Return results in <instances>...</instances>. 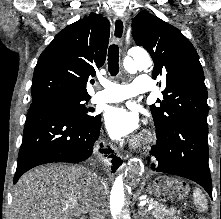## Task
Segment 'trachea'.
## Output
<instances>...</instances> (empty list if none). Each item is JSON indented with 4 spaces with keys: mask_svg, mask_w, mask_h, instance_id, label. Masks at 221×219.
I'll return each instance as SVG.
<instances>
[{
    "mask_svg": "<svg viewBox=\"0 0 221 219\" xmlns=\"http://www.w3.org/2000/svg\"><path fill=\"white\" fill-rule=\"evenodd\" d=\"M108 69L112 76L119 72V47L116 44H112L108 50Z\"/></svg>",
    "mask_w": 221,
    "mask_h": 219,
    "instance_id": "3493384b",
    "label": "trachea"
}]
</instances>
